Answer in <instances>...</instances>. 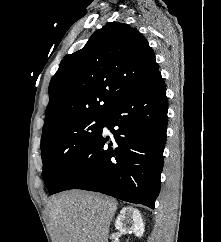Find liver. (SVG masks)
<instances>
[{"label": "liver", "mask_w": 221, "mask_h": 242, "mask_svg": "<svg viewBox=\"0 0 221 242\" xmlns=\"http://www.w3.org/2000/svg\"><path fill=\"white\" fill-rule=\"evenodd\" d=\"M52 242H107L117 201L71 190L47 204Z\"/></svg>", "instance_id": "obj_1"}]
</instances>
